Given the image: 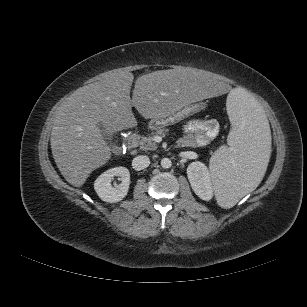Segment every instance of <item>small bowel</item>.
Masks as SVG:
<instances>
[{"instance_id": "obj_1", "label": "small bowel", "mask_w": 307, "mask_h": 307, "mask_svg": "<svg viewBox=\"0 0 307 307\" xmlns=\"http://www.w3.org/2000/svg\"><path fill=\"white\" fill-rule=\"evenodd\" d=\"M186 135L180 140L184 146H205L209 144L219 132V124L214 119L190 120L183 126Z\"/></svg>"}]
</instances>
